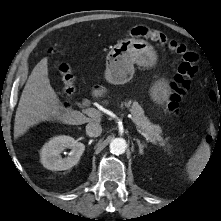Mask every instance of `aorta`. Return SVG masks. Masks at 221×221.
<instances>
[{
	"label": "aorta",
	"mask_w": 221,
	"mask_h": 221,
	"mask_svg": "<svg viewBox=\"0 0 221 221\" xmlns=\"http://www.w3.org/2000/svg\"><path fill=\"white\" fill-rule=\"evenodd\" d=\"M126 148L127 144L123 138H115L110 143V151L116 155L123 154Z\"/></svg>",
	"instance_id": "aorta-1"
}]
</instances>
